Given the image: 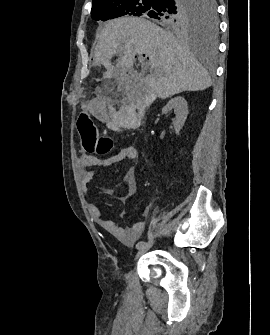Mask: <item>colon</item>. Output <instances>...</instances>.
Instances as JSON below:
<instances>
[{
  "label": "colon",
  "mask_w": 270,
  "mask_h": 335,
  "mask_svg": "<svg viewBox=\"0 0 270 335\" xmlns=\"http://www.w3.org/2000/svg\"><path fill=\"white\" fill-rule=\"evenodd\" d=\"M76 123H81L83 147L87 153L101 157L114 150V140L99 133L93 123V116H85V111H80V116H76Z\"/></svg>",
  "instance_id": "obj_1"
}]
</instances>
